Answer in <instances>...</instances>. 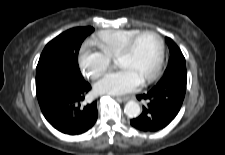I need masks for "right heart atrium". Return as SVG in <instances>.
Masks as SVG:
<instances>
[{"label":"right heart atrium","mask_w":225,"mask_h":155,"mask_svg":"<svg viewBox=\"0 0 225 155\" xmlns=\"http://www.w3.org/2000/svg\"><path fill=\"white\" fill-rule=\"evenodd\" d=\"M78 63L84 76L97 79L109 68L111 59L99 50H94L88 44H84L78 54Z\"/></svg>","instance_id":"d8ad5b80"}]
</instances>
